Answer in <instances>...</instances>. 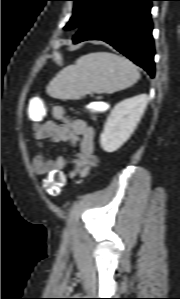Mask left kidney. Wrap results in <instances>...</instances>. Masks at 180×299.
Returning <instances> with one entry per match:
<instances>
[{
	"label": "left kidney",
	"mask_w": 180,
	"mask_h": 299,
	"mask_svg": "<svg viewBox=\"0 0 180 299\" xmlns=\"http://www.w3.org/2000/svg\"><path fill=\"white\" fill-rule=\"evenodd\" d=\"M146 105L147 96L145 94L125 99L115 105L100 135V144L104 151L114 152L130 138Z\"/></svg>",
	"instance_id": "left-kidney-1"
}]
</instances>
